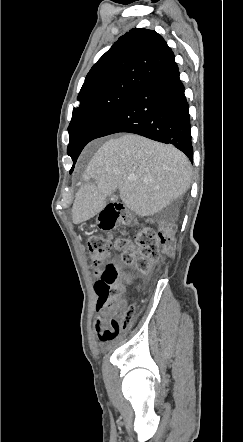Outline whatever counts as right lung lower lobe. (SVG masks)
Returning a JSON list of instances; mask_svg holds the SVG:
<instances>
[{
	"instance_id": "obj_1",
	"label": "right lung lower lobe",
	"mask_w": 243,
	"mask_h": 442,
	"mask_svg": "<svg viewBox=\"0 0 243 442\" xmlns=\"http://www.w3.org/2000/svg\"><path fill=\"white\" fill-rule=\"evenodd\" d=\"M189 105L174 61L134 89L112 112L93 139L129 132L171 144L193 161Z\"/></svg>"
}]
</instances>
